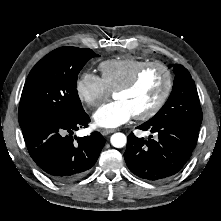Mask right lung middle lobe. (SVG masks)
Returning a JSON list of instances; mask_svg holds the SVG:
<instances>
[{
    "instance_id": "right-lung-middle-lobe-1",
    "label": "right lung middle lobe",
    "mask_w": 221,
    "mask_h": 221,
    "mask_svg": "<svg viewBox=\"0 0 221 221\" xmlns=\"http://www.w3.org/2000/svg\"><path fill=\"white\" fill-rule=\"evenodd\" d=\"M92 57L99 55L88 48L60 47L33 67L19 104L22 131L49 120H69L84 112L76 90L77 78Z\"/></svg>"
}]
</instances>
